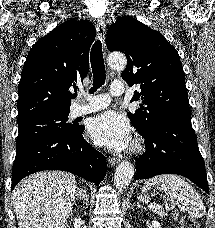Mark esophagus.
<instances>
[{
    "label": "esophagus",
    "instance_id": "34e87169",
    "mask_svg": "<svg viewBox=\"0 0 215 228\" xmlns=\"http://www.w3.org/2000/svg\"><path fill=\"white\" fill-rule=\"evenodd\" d=\"M96 31H97L98 38L101 41L103 48L105 49V47H106V43H105L106 26H105L104 20H102V19L97 20ZM119 161H120V158H112L111 160H109V163L111 165H116V163H119Z\"/></svg>",
    "mask_w": 215,
    "mask_h": 228
}]
</instances>
